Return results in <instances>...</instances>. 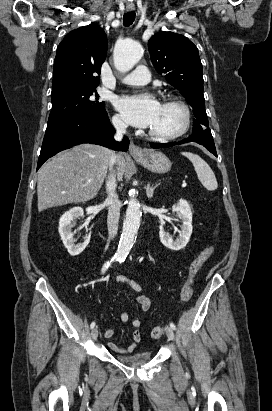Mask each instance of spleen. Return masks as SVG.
I'll return each instance as SVG.
<instances>
[{
    "instance_id": "spleen-1",
    "label": "spleen",
    "mask_w": 272,
    "mask_h": 411,
    "mask_svg": "<svg viewBox=\"0 0 272 411\" xmlns=\"http://www.w3.org/2000/svg\"><path fill=\"white\" fill-rule=\"evenodd\" d=\"M193 164L197 177L202 185L209 191H214L218 187L216 177L210 166L197 154L182 152Z\"/></svg>"
}]
</instances>
